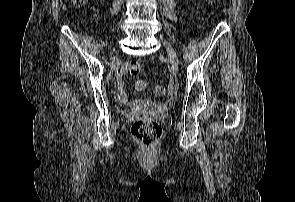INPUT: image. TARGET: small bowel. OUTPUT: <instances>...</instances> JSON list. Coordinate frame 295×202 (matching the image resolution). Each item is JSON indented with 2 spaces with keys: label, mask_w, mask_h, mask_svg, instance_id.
<instances>
[{
  "label": "small bowel",
  "mask_w": 295,
  "mask_h": 202,
  "mask_svg": "<svg viewBox=\"0 0 295 202\" xmlns=\"http://www.w3.org/2000/svg\"><path fill=\"white\" fill-rule=\"evenodd\" d=\"M126 72L127 68L123 67L119 77L120 81H116L118 90H125V81L122 80ZM120 98H126V93H120ZM126 107H153V102H148V98H138V102H126Z\"/></svg>",
  "instance_id": "obj_1"
}]
</instances>
